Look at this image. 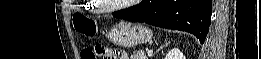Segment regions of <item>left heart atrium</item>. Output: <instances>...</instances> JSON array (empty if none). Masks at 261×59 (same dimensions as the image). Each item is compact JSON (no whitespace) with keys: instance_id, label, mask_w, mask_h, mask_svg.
<instances>
[{"instance_id":"obj_1","label":"left heart atrium","mask_w":261,"mask_h":59,"mask_svg":"<svg viewBox=\"0 0 261 59\" xmlns=\"http://www.w3.org/2000/svg\"><path fill=\"white\" fill-rule=\"evenodd\" d=\"M128 2H131V3H132V2H135V1H128Z\"/></svg>"}]
</instances>
